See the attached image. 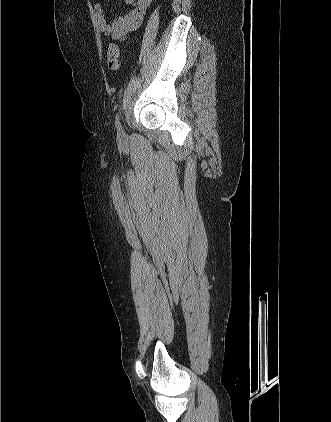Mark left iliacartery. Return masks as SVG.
Here are the masks:
<instances>
[{
	"mask_svg": "<svg viewBox=\"0 0 331 422\" xmlns=\"http://www.w3.org/2000/svg\"><path fill=\"white\" fill-rule=\"evenodd\" d=\"M115 124H116V127L118 128V130H122V127H121V124H120V121H119V113H117V115H116V122H115Z\"/></svg>",
	"mask_w": 331,
	"mask_h": 422,
	"instance_id": "44dca946",
	"label": "left iliac artery"
}]
</instances>
